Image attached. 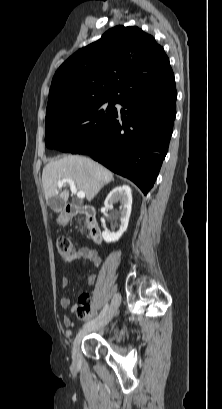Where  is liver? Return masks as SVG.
I'll return each instance as SVG.
<instances>
[{
	"instance_id": "6515ba94",
	"label": "liver",
	"mask_w": 222,
	"mask_h": 409,
	"mask_svg": "<svg viewBox=\"0 0 222 409\" xmlns=\"http://www.w3.org/2000/svg\"><path fill=\"white\" fill-rule=\"evenodd\" d=\"M63 178L72 179L79 191H83L89 202L93 200L100 189L113 179V174L99 163L81 156L69 155L61 159L51 161L45 165L42 172V185L45 199L58 196L66 206L69 191L67 183L63 190L59 191L58 182ZM61 208H55L60 212Z\"/></svg>"
}]
</instances>
